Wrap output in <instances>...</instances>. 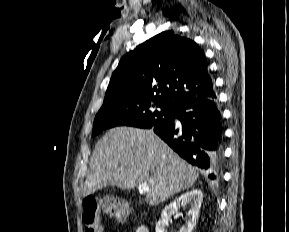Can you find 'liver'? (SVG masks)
<instances>
[{"label":"liver","mask_w":289,"mask_h":232,"mask_svg":"<svg viewBox=\"0 0 289 232\" xmlns=\"http://www.w3.org/2000/svg\"><path fill=\"white\" fill-rule=\"evenodd\" d=\"M199 174L153 131L116 127L96 144L82 188L88 196L108 186L133 189L147 184L145 201L158 205L189 189Z\"/></svg>","instance_id":"liver-1"}]
</instances>
